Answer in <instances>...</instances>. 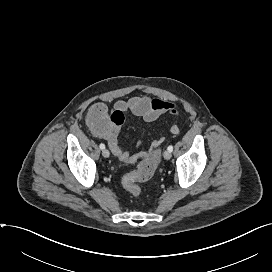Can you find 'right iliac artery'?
Segmentation results:
<instances>
[{
    "label": "right iliac artery",
    "instance_id": "1",
    "mask_svg": "<svg viewBox=\"0 0 272 272\" xmlns=\"http://www.w3.org/2000/svg\"><path fill=\"white\" fill-rule=\"evenodd\" d=\"M99 147H100V149H102V150L105 149V145H104L103 143H101Z\"/></svg>",
    "mask_w": 272,
    "mask_h": 272
}]
</instances>
